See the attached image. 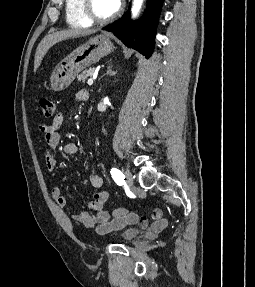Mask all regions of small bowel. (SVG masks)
Instances as JSON below:
<instances>
[{
  "label": "small bowel",
  "instance_id": "small-bowel-1",
  "mask_svg": "<svg viewBox=\"0 0 255 287\" xmlns=\"http://www.w3.org/2000/svg\"><path fill=\"white\" fill-rule=\"evenodd\" d=\"M85 96V93L79 92L77 98L83 100ZM63 120V114L57 113L49 125L41 126L47 145L45 167L49 172H52L56 167V152L61 140L59 129L63 124ZM63 153L66 156L76 155L78 153V145L72 142L66 143L63 146ZM89 182L93 188L98 189L93 195L89 209L71 217L64 211L66 199L61 189L57 186L52 188L51 195L57 207L58 215L66 225H71L73 221L87 228H95L99 234L109 233L129 224H139L142 228L150 229L154 232H159L167 227L168 220L164 217L161 209H154L149 218L133 212L124 217L111 218L110 213L103 210V206L109 199L108 191L101 189L104 184L103 177L99 173H91Z\"/></svg>",
  "mask_w": 255,
  "mask_h": 287
}]
</instances>
